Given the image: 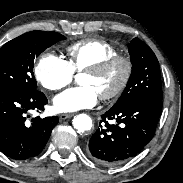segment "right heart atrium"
Masks as SVG:
<instances>
[{
    "label": "right heart atrium",
    "mask_w": 183,
    "mask_h": 183,
    "mask_svg": "<svg viewBox=\"0 0 183 183\" xmlns=\"http://www.w3.org/2000/svg\"><path fill=\"white\" fill-rule=\"evenodd\" d=\"M35 78L48 91H58L71 83L73 72L66 60L54 52L40 55L35 66Z\"/></svg>",
    "instance_id": "right-heart-atrium-1"
}]
</instances>
